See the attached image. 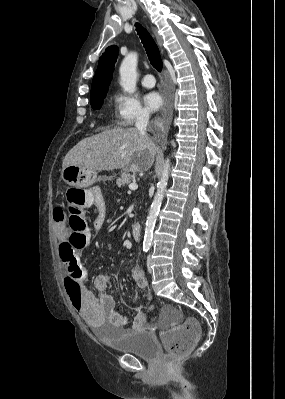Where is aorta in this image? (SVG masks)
<instances>
[{
  "label": "aorta",
  "instance_id": "aorta-1",
  "mask_svg": "<svg viewBox=\"0 0 285 399\" xmlns=\"http://www.w3.org/2000/svg\"><path fill=\"white\" fill-rule=\"evenodd\" d=\"M137 53H129L122 61L119 73H120V85L125 92L134 93L136 88L137 80ZM170 160L167 158L163 164V170L161 178L158 182L157 192L151 204L144 232L143 247L149 248L152 243L153 231L156 223L158 213L164 198L166 187L169 179Z\"/></svg>",
  "mask_w": 285,
  "mask_h": 399
}]
</instances>
